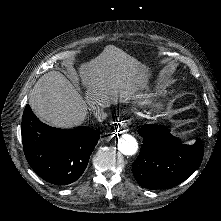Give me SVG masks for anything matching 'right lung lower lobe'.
Wrapping results in <instances>:
<instances>
[{
    "label": "right lung lower lobe",
    "instance_id": "right-lung-lower-lobe-1",
    "mask_svg": "<svg viewBox=\"0 0 221 221\" xmlns=\"http://www.w3.org/2000/svg\"><path fill=\"white\" fill-rule=\"evenodd\" d=\"M100 134L89 127L59 129L42 123L26 105L22 117V141L31 168L45 181L68 185L87 167Z\"/></svg>",
    "mask_w": 221,
    "mask_h": 221
}]
</instances>
